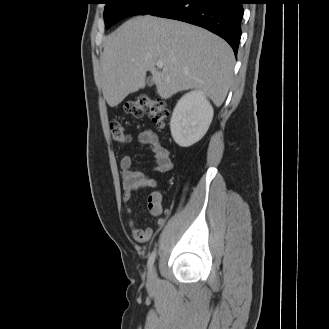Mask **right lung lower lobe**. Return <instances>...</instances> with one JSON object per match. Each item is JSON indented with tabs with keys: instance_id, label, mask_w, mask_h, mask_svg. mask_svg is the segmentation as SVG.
Listing matches in <instances>:
<instances>
[{
	"instance_id": "98d812e1",
	"label": "right lung lower lobe",
	"mask_w": 329,
	"mask_h": 329,
	"mask_svg": "<svg viewBox=\"0 0 329 329\" xmlns=\"http://www.w3.org/2000/svg\"><path fill=\"white\" fill-rule=\"evenodd\" d=\"M242 0H172L150 15L188 22L225 39L235 55L241 37Z\"/></svg>"
}]
</instances>
